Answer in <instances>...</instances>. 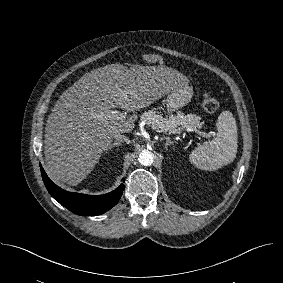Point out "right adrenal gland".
<instances>
[{
	"instance_id": "right-adrenal-gland-1",
	"label": "right adrenal gland",
	"mask_w": 283,
	"mask_h": 283,
	"mask_svg": "<svg viewBox=\"0 0 283 283\" xmlns=\"http://www.w3.org/2000/svg\"><path fill=\"white\" fill-rule=\"evenodd\" d=\"M120 145H121V142H120V141H116V142H114L113 144H111L108 149L110 150V149H112L113 147L120 146Z\"/></svg>"
}]
</instances>
